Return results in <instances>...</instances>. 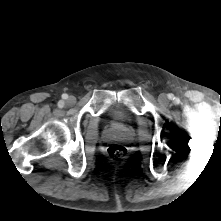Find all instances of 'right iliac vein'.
Returning a JSON list of instances; mask_svg holds the SVG:
<instances>
[{
	"mask_svg": "<svg viewBox=\"0 0 221 221\" xmlns=\"http://www.w3.org/2000/svg\"><path fill=\"white\" fill-rule=\"evenodd\" d=\"M76 102V98L74 96H69L67 99V103L72 105Z\"/></svg>",
	"mask_w": 221,
	"mask_h": 221,
	"instance_id": "right-iliac-vein-1",
	"label": "right iliac vein"
}]
</instances>
